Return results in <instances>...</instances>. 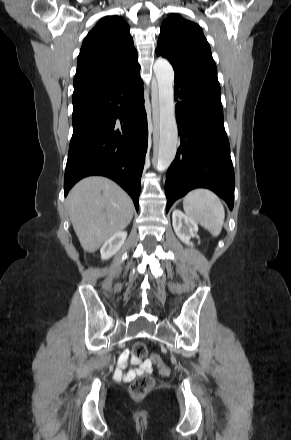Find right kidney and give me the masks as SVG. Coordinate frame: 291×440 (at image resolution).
Instances as JSON below:
<instances>
[{
    "label": "right kidney",
    "instance_id": "1",
    "mask_svg": "<svg viewBox=\"0 0 291 440\" xmlns=\"http://www.w3.org/2000/svg\"><path fill=\"white\" fill-rule=\"evenodd\" d=\"M127 237L126 231H118L104 242L100 249L101 259L107 260L119 251Z\"/></svg>",
    "mask_w": 291,
    "mask_h": 440
}]
</instances>
